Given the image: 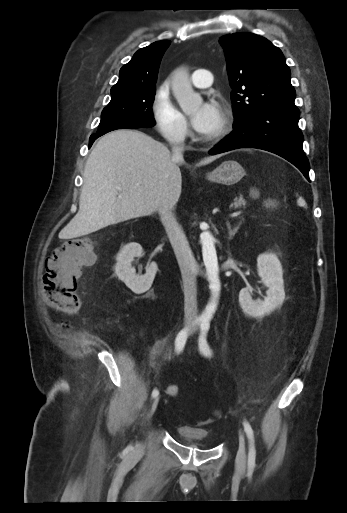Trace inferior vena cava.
I'll use <instances>...</instances> for the list:
<instances>
[{
  "label": "inferior vena cava",
  "mask_w": 347,
  "mask_h": 513,
  "mask_svg": "<svg viewBox=\"0 0 347 513\" xmlns=\"http://www.w3.org/2000/svg\"><path fill=\"white\" fill-rule=\"evenodd\" d=\"M173 159L177 162L183 160V146L174 143L172 146ZM178 197L170 189H166L158 198V212L162 223L166 227L170 243L180 266L184 287V312L191 319L197 317V263L191 252L185 234L178 224L175 214V204Z\"/></svg>",
  "instance_id": "602c4592"
}]
</instances>
